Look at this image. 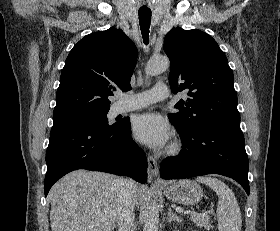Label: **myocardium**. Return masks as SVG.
Listing matches in <instances>:
<instances>
[{"label": "myocardium", "instance_id": "myocardium-1", "mask_svg": "<svg viewBox=\"0 0 280 231\" xmlns=\"http://www.w3.org/2000/svg\"><path fill=\"white\" fill-rule=\"evenodd\" d=\"M179 150H180V144L176 143V144H174V145L170 148L169 153L172 154V155H174V154H176Z\"/></svg>", "mask_w": 280, "mask_h": 231}]
</instances>
